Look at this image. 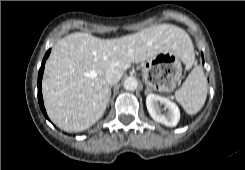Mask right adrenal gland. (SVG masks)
<instances>
[{
    "mask_svg": "<svg viewBox=\"0 0 245 170\" xmlns=\"http://www.w3.org/2000/svg\"><path fill=\"white\" fill-rule=\"evenodd\" d=\"M111 97V88H110V91H109V98Z\"/></svg>",
    "mask_w": 245,
    "mask_h": 170,
    "instance_id": "obj_1",
    "label": "right adrenal gland"
}]
</instances>
